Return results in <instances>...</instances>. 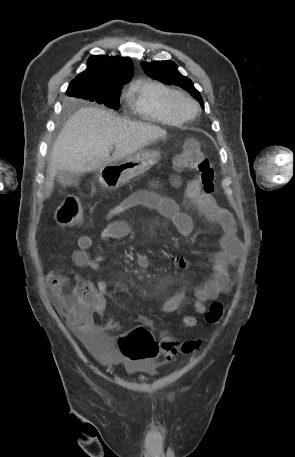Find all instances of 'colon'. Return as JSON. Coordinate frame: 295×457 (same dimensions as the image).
Masks as SVG:
<instances>
[{"label":"colon","instance_id":"colon-1","mask_svg":"<svg viewBox=\"0 0 295 457\" xmlns=\"http://www.w3.org/2000/svg\"><path fill=\"white\" fill-rule=\"evenodd\" d=\"M177 171L192 169L199 173L200 183L204 193L212 195L214 192V171L208 157L203 153L200 143L196 139L184 142L181 152L174 159ZM83 210L80 201L74 196H68L58 207L56 220L59 225L70 227L82 220ZM57 298L72 318H85L90 312V297L88 286L80 282L74 275H54ZM223 306L219 302L210 305L205 315L208 324H215L223 316ZM121 341L116 347L117 356L124 362L148 363L162 359L166 363H173L180 359V355H192L200 343L197 340L173 341L165 339L159 345L153 340L151 330L139 327L122 333Z\"/></svg>","mask_w":295,"mask_h":457}]
</instances>
